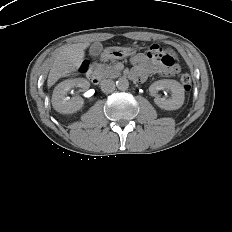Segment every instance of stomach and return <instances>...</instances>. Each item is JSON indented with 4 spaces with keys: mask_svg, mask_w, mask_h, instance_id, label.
I'll use <instances>...</instances> for the list:
<instances>
[{
    "mask_svg": "<svg viewBox=\"0 0 232 232\" xmlns=\"http://www.w3.org/2000/svg\"><path fill=\"white\" fill-rule=\"evenodd\" d=\"M133 54V51L123 47H108L104 50L103 58L105 60H119Z\"/></svg>",
    "mask_w": 232,
    "mask_h": 232,
    "instance_id": "0dacf381",
    "label": "stomach"
}]
</instances>
